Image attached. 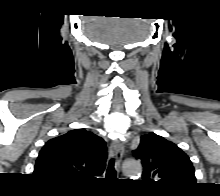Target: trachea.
<instances>
[{
  "instance_id": "obj_1",
  "label": "trachea",
  "mask_w": 220,
  "mask_h": 196,
  "mask_svg": "<svg viewBox=\"0 0 220 196\" xmlns=\"http://www.w3.org/2000/svg\"><path fill=\"white\" fill-rule=\"evenodd\" d=\"M106 175H107V179H109V180L115 179L116 171L114 169V159H111V161L109 162V166H108Z\"/></svg>"
}]
</instances>
